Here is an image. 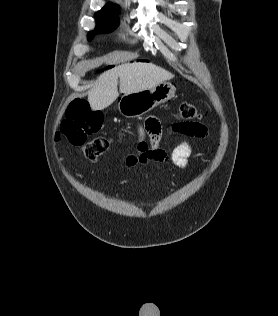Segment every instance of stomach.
<instances>
[{"label":"stomach","mask_w":278,"mask_h":316,"mask_svg":"<svg viewBox=\"0 0 278 316\" xmlns=\"http://www.w3.org/2000/svg\"><path fill=\"white\" fill-rule=\"evenodd\" d=\"M176 88L170 82H162L152 88L121 96L118 109L128 118L139 117L175 95Z\"/></svg>","instance_id":"stomach-1"}]
</instances>
